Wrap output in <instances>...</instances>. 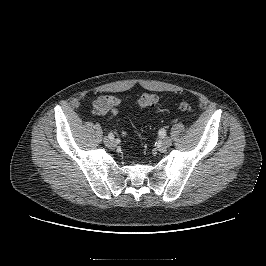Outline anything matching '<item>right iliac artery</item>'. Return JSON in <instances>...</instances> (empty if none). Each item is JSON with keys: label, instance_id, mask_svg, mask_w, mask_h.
I'll use <instances>...</instances> for the list:
<instances>
[{"label": "right iliac artery", "instance_id": "82829eb1", "mask_svg": "<svg viewBox=\"0 0 266 266\" xmlns=\"http://www.w3.org/2000/svg\"><path fill=\"white\" fill-rule=\"evenodd\" d=\"M108 138H109V139H113V138H114V135H113L112 133H109V134H108Z\"/></svg>", "mask_w": 266, "mask_h": 266}]
</instances>
